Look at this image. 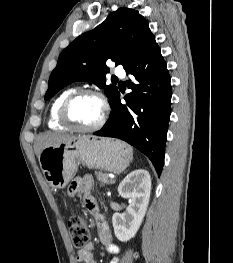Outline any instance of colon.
Instances as JSON below:
<instances>
[{"instance_id":"5ec220e1","label":"colon","mask_w":233,"mask_h":263,"mask_svg":"<svg viewBox=\"0 0 233 263\" xmlns=\"http://www.w3.org/2000/svg\"><path fill=\"white\" fill-rule=\"evenodd\" d=\"M68 230L74 248L82 250L89 242L88 228L85 221L78 216L70 217L68 220Z\"/></svg>"}]
</instances>
